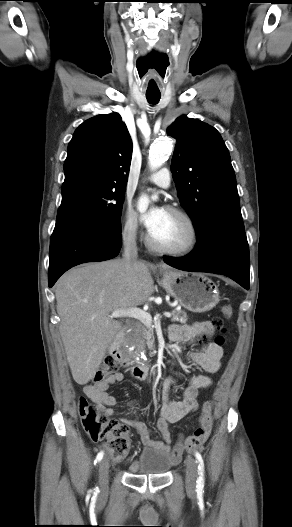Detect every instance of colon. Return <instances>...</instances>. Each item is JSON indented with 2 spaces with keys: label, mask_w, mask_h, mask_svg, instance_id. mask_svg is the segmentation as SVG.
Returning a JSON list of instances; mask_svg holds the SVG:
<instances>
[{
  "label": "colon",
  "mask_w": 292,
  "mask_h": 527,
  "mask_svg": "<svg viewBox=\"0 0 292 527\" xmlns=\"http://www.w3.org/2000/svg\"><path fill=\"white\" fill-rule=\"evenodd\" d=\"M222 313L225 318H230L232 315V308L229 305H226L222 308ZM213 324L220 330H224L220 318L214 319ZM200 338L202 342H207L209 336L208 334H202ZM222 343L223 338L220 336L217 337L215 344L221 345ZM117 370L118 364L116 359L112 356H108L100 365L89 384L104 382L110 376L117 373ZM79 414L83 428L93 442L102 443L107 448L108 452L116 459H122L128 454L131 448V438L129 427L126 423L101 416L98 413L97 407L88 403L84 398H82L79 403Z\"/></svg>",
  "instance_id": "colon-1"
}]
</instances>
